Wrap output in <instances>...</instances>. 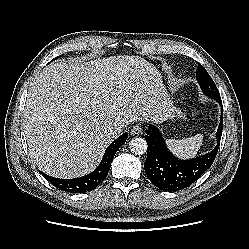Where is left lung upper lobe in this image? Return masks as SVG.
<instances>
[{"label":"left lung upper lobe","instance_id":"left-lung-upper-lobe-1","mask_svg":"<svg viewBox=\"0 0 249 249\" xmlns=\"http://www.w3.org/2000/svg\"><path fill=\"white\" fill-rule=\"evenodd\" d=\"M196 79L203 91V93L215 100H219L221 99L220 97V93L214 83V81L212 80V78L210 77V75L208 74V72L205 70V68L198 64V68H197V72H196Z\"/></svg>","mask_w":249,"mask_h":249}]
</instances>
